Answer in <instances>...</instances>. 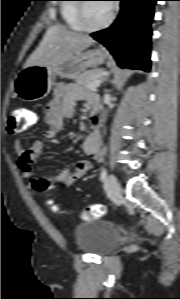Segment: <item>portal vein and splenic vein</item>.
Wrapping results in <instances>:
<instances>
[{
    "instance_id": "obj_1",
    "label": "portal vein and splenic vein",
    "mask_w": 180,
    "mask_h": 299,
    "mask_svg": "<svg viewBox=\"0 0 180 299\" xmlns=\"http://www.w3.org/2000/svg\"><path fill=\"white\" fill-rule=\"evenodd\" d=\"M103 75L106 76L107 73H103ZM103 80H104V78H99V79L94 80L92 83H90V84L88 85V88H89L90 90H95V89H97V88L101 85V83L103 82Z\"/></svg>"
}]
</instances>
